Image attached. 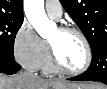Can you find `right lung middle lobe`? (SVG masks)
Masks as SVG:
<instances>
[{
    "mask_svg": "<svg viewBox=\"0 0 107 89\" xmlns=\"http://www.w3.org/2000/svg\"><path fill=\"white\" fill-rule=\"evenodd\" d=\"M23 19L0 16V59L14 62L13 46L15 36Z\"/></svg>",
    "mask_w": 107,
    "mask_h": 89,
    "instance_id": "obj_1",
    "label": "right lung middle lobe"
}]
</instances>
